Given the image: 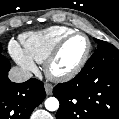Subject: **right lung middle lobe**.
Listing matches in <instances>:
<instances>
[{"instance_id":"right-lung-middle-lobe-1","label":"right lung middle lobe","mask_w":119,"mask_h":119,"mask_svg":"<svg viewBox=\"0 0 119 119\" xmlns=\"http://www.w3.org/2000/svg\"><path fill=\"white\" fill-rule=\"evenodd\" d=\"M1 51H2V46H1V43H0V53H1Z\"/></svg>"}]
</instances>
